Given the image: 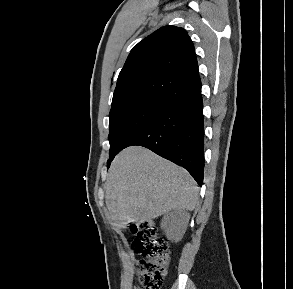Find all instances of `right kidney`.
<instances>
[{
  "mask_svg": "<svg viewBox=\"0 0 293 289\" xmlns=\"http://www.w3.org/2000/svg\"><path fill=\"white\" fill-rule=\"evenodd\" d=\"M189 222V214L175 210L164 216L161 227L170 240L179 241L183 237Z\"/></svg>",
  "mask_w": 293,
  "mask_h": 289,
  "instance_id": "obj_1",
  "label": "right kidney"
}]
</instances>
